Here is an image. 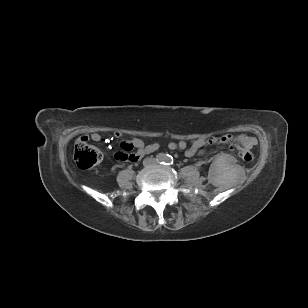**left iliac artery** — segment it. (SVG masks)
I'll list each match as a JSON object with an SVG mask.
<instances>
[{
  "mask_svg": "<svg viewBox=\"0 0 308 308\" xmlns=\"http://www.w3.org/2000/svg\"><path fill=\"white\" fill-rule=\"evenodd\" d=\"M173 162H174L173 157L170 156V155H167V157H166V159H165V164L171 165V164H173Z\"/></svg>",
  "mask_w": 308,
  "mask_h": 308,
  "instance_id": "44dca946",
  "label": "left iliac artery"
}]
</instances>
